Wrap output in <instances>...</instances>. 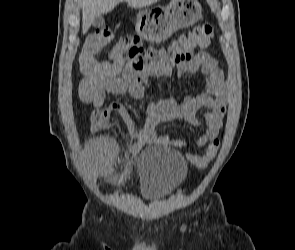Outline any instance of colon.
I'll return each instance as SVG.
<instances>
[{
	"label": "colon",
	"instance_id": "colon-1",
	"mask_svg": "<svg viewBox=\"0 0 295 250\" xmlns=\"http://www.w3.org/2000/svg\"><path fill=\"white\" fill-rule=\"evenodd\" d=\"M214 37V27L211 23L205 22L196 26L188 37H185L184 44L205 47ZM113 39V32L109 28H101L91 33L80 53L79 64L83 73H92L97 68L96 56ZM113 111L108 108L95 109L90 113L89 120L91 128L99 131L110 126V116ZM219 140H213L207 146L202 156L190 155V161L200 169L205 168L216 156L219 149Z\"/></svg>",
	"mask_w": 295,
	"mask_h": 250
}]
</instances>
